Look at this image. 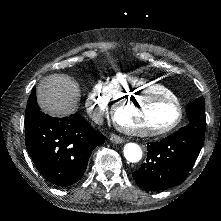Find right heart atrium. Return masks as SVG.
I'll list each match as a JSON object with an SVG mask.
<instances>
[{
    "label": "right heart atrium",
    "mask_w": 221,
    "mask_h": 221,
    "mask_svg": "<svg viewBox=\"0 0 221 221\" xmlns=\"http://www.w3.org/2000/svg\"><path fill=\"white\" fill-rule=\"evenodd\" d=\"M111 99L108 80L98 81L91 87L89 101L93 106L105 107L110 103Z\"/></svg>",
    "instance_id": "right-heart-atrium-1"
}]
</instances>
